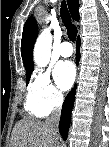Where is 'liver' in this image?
Returning a JSON list of instances; mask_svg holds the SVG:
<instances>
[{
  "label": "liver",
  "instance_id": "6515ba94",
  "mask_svg": "<svg viewBox=\"0 0 109 147\" xmlns=\"http://www.w3.org/2000/svg\"><path fill=\"white\" fill-rule=\"evenodd\" d=\"M10 147H54V139L45 122L24 117L13 128Z\"/></svg>",
  "mask_w": 109,
  "mask_h": 147
}]
</instances>
